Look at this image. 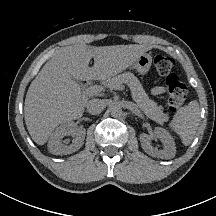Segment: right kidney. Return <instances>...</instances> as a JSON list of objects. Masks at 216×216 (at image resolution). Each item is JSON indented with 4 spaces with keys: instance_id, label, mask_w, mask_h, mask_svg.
<instances>
[{
    "instance_id": "1",
    "label": "right kidney",
    "mask_w": 216,
    "mask_h": 216,
    "mask_svg": "<svg viewBox=\"0 0 216 216\" xmlns=\"http://www.w3.org/2000/svg\"><path fill=\"white\" fill-rule=\"evenodd\" d=\"M69 135L73 137L72 143L70 145L63 144L62 139ZM85 135L86 130L83 127L77 128L74 122H66L50 135L48 150L54 155H67L76 152L82 147Z\"/></svg>"
}]
</instances>
